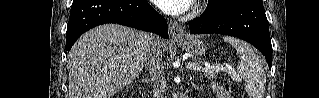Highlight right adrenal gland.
<instances>
[{"instance_id": "2a0ac1e0", "label": "right adrenal gland", "mask_w": 319, "mask_h": 98, "mask_svg": "<svg viewBox=\"0 0 319 98\" xmlns=\"http://www.w3.org/2000/svg\"><path fill=\"white\" fill-rule=\"evenodd\" d=\"M143 80H145V81H146V80H148V78H145V79H143Z\"/></svg>"}]
</instances>
